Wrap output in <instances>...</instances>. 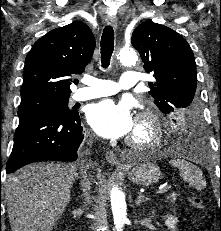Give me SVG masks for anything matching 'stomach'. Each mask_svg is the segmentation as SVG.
<instances>
[{"instance_id":"1","label":"stomach","mask_w":221,"mask_h":231,"mask_svg":"<svg viewBox=\"0 0 221 231\" xmlns=\"http://www.w3.org/2000/svg\"><path fill=\"white\" fill-rule=\"evenodd\" d=\"M160 177V169L150 162L140 163L128 172L129 180L134 184L141 186H151L156 184Z\"/></svg>"}]
</instances>
